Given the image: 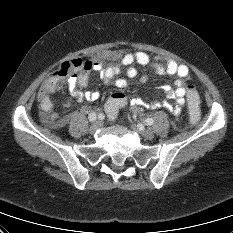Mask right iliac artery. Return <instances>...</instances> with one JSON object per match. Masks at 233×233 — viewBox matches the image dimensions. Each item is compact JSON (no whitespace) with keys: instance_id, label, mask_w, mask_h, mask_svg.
<instances>
[{"instance_id":"obj_1","label":"right iliac artery","mask_w":233,"mask_h":233,"mask_svg":"<svg viewBox=\"0 0 233 233\" xmlns=\"http://www.w3.org/2000/svg\"><path fill=\"white\" fill-rule=\"evenodd\" d=\"M88 119L91 122L95 121L97 119L96 113H94V112L90 113L89 116H88Z\"/></svg>"}]
</instances>
